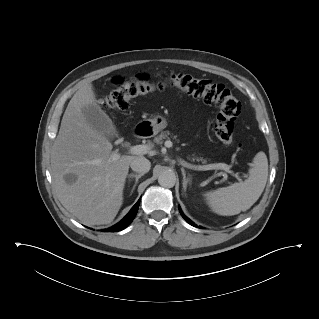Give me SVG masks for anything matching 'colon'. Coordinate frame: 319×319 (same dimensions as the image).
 Returning a JSON list of instances; mask_svg holds the SVG:
<instances>
[{
	"label": "colon",
	"instance_id": "5ec220e1",
	"mask_svg": "<svg viewBox=\"0 0 319 319\" xmlns=\"http://www.w3.org/2000/svg\"><path fill=\"white\" fill-rule=\"evenodd\" d=\"M114 86V90L105 99L106 107L113 111H126L133 98L166 87H175L187 94L199 97L219 110L214 122V132L217 138L225 144L234 143V120L240 113L241 104L230 89L223 84L184 73H173L164 75L160 79H152L145 74H137L129 79L116 78Z\"/></svg>",
	"mask_w": 319,
	"mask_h": 319
}]
</instances>
